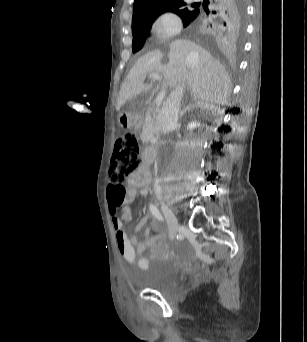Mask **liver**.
Instances as JSON below:
<instances>
[{
  "label": "liver",
  "mask_w": 307,
  "mask_h": 342,
  "mask_svg": "<svg viewBox=\"0 0 307 342\" xmlns=\"http://www.w3.org/2000/svg\"><path fill=\"white\" fill-rule=\"evenodd\" d=\"M190 54H193L190 58ZM148 74H162L164 86L176 88L179 82L186 84L191 98L199 100L204 108L214 104H228L232 90L228 72L210 52L190 40H175L171 44H158V50L141 56L126 76L119 92L116 110L141 92H148L155 80L144 84Z\"/></svg>",
  "instance_id": "1"
}]
</instances>
